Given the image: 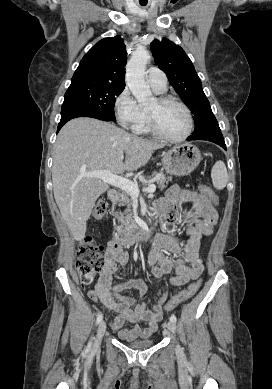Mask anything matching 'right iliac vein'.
Listing matches in <instances>:
<instances>
[{"instance_id":"63e3f726","label":"right iliac vein","mask_w":272,"mask_h":389,"mask_svg":"<svg viewBox=\"0 0 272 389\" xmlns=\"http://www.w3.org/2000/svg\"><path fill=\"white\" fill-rule=\"evenodd\" d=\"M105 331H106V322L105 321H101L100 324H99L98 330H97V334H96V337H95V340H94V344H93V347L95 349L100 347V344H101L102 338H103V336L105 334Z\"/></svg>"}]
</instances>
